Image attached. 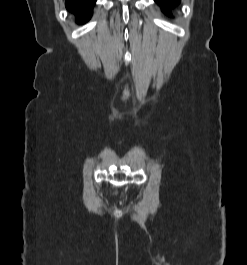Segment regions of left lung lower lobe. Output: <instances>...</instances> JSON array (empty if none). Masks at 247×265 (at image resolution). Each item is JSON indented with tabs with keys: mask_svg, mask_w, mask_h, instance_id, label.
<instances>
[{
	"mask_svg": "<svg viewBox=\"0 0 247 265\" xmlns=\"http://www.w3.org/2000/svg\"><path fill=\"white\" fill-rule=\"evenodd\" d=\"M158 5L162 7V10L168 16H171L170 10L179 5L180 0H155Z\"/></svg>",
	"mask_w": 247,
	"mask_h": 265,
	"instance_id": "left-lung-lower-lobe-1",
	"label": "left lung lower lobe"
}]
</instances>
